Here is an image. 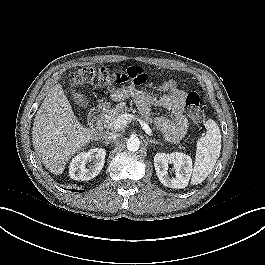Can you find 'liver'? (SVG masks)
<instances>
[{"label": "liver", "instance_id": "1", "mask_svg": "<svg viewBox=\"0 0 265 265\" xmlns=\"http://www.w3.org/2000/svg\"><path fill=\"white\" fill-rule=\"evenodd\" d=\"M93 139V130L75 116L60 84L54 85L38 109L32 130L34 149L53 174L63 173L66 163Z\"/></svg>", "mask_w": 265, "mask_h": 265}]
</instances>
